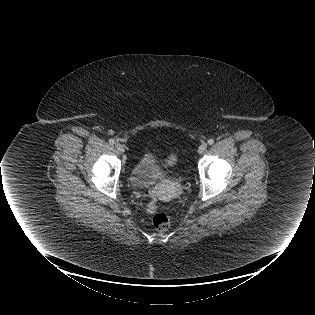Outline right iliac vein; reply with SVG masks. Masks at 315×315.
Wrapping results in <instances>:
<instances>
[{
    "instance_id": "63e3f726",
    "label": "right iliac vein",
    "mask_w": 315,
    "mask_h": 315,
    "mask_svg": "<svg viewBox=\"0 0 315 315\" xmlns=\"http://www.w3.org/2000/svg\"><path fill=\"white\" fill-rule=\"evenodd\" d=\"M116 149L120 154H123L125 152L124 146L121 145L120 143L116 144Z\"/></svg>"
}]
</instances>
